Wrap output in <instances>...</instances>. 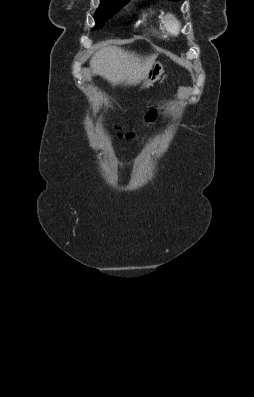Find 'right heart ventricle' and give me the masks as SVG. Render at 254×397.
<instances>
[{"instance_id": "1", "label": "right heart ventricle", "mask_w": 254, "mask_h": 397, "mask_svg": "<svg viewBox=\"0 0 254 397\" xmlns=\"http://www.w3.org/2000/svg\"><path fill=\"white\" fill-rule=\"evenodd\" d=\"M159 24H160V27H161L162 29H164V17H163V16H160V17H159Z\"/></svg>"}]
</instances>
